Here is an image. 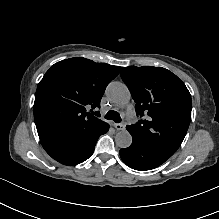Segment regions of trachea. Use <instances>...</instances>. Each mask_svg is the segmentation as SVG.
Returning <instances> with one entry per match:
<instances>
[{"label":"trachea","mask_w":219,"mask_h":219,"mask_svg":"<svg viewBox=\"0 0 219 219\" xmlns=\"http://www.w3.org/2000/svg\"><path fill=\"white\" fill-rule=\"evenodd\" d=\"M105 118L108 119V120H113L116 123L121 122L120 114L118 112L114 111V110L108 111Z\"/></svg>","instance_id":"3493384b"}]
</instances>
